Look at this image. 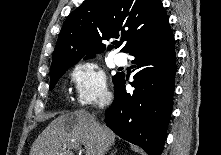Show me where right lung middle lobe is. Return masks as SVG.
<instances>
[{
    "label": "right lung middle lobe",
    "mask_w": 221,
    "mask_h": 155,
    "mask_svg": "<svg viewBox=\"0 0 221 155\" xmlns=\"http://www.w3.org/2000/svg\"><path fill=\"white\" fill-rule=\"evenodd\" d=\"M74 64L71 65H65L62 67H59L57 69L51 70L50 71V90H52L56 84V82L59 80V78L65 73L66 70H68L71 66H73ZM119 75V73H117L115 76H113V80Z\"/></svg>",
    "instance_id": "dd1d6c3e"
}]
</instances>
